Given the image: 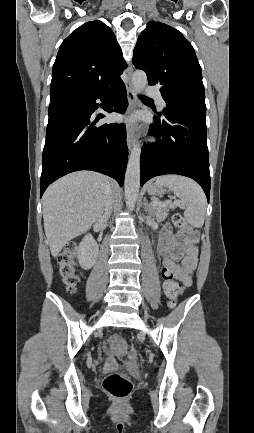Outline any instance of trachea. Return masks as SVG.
<instances>
[{
  "instance_id": "obj_1",
  "label": "trachea",
  "mask_w": 254,
  "mask_h": 433,
  "mask_svg": "<svg viewBox=\"0 0 254 433\" xmlns=\"http://www.w3.org/2000/svg\"><path fill=\"white\" fill-rule=\"evenodd\" d=\"M142 100H151V99H149L148 97H146V96H144V95H140L139 96Z\"/></svg>"
}]
</instances>
